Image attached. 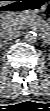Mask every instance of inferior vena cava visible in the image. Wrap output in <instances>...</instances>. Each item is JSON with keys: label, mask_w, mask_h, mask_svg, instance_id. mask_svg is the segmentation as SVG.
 <instances>
[{"label": "inferior vena cava", "mask_w": 50, "mask_h": 111, "mask_svg": "<svg viewBox=\"0 0 50 111\" xmlns=\"http://www.w3.org/2000/svg\"><path fill=\"white\" fill-rule=\"evenodd\" d=\"M20 35V32L18 30H9L5 31L1 34V38L5 41H11L16 39Z\"/></svg>", "instance_id": "inferior-vena-cava-1"}]
</instances>
